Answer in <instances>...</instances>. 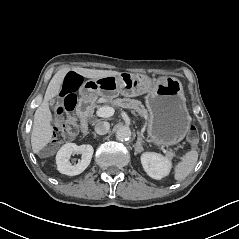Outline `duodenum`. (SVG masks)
I'll return each mask as SVG.
<instances>
[{
    "instance_id": "duodenum-1",
    "label": "duodenum",
    "mask_w": 239,
    "mask_h": 239,
    "mask_svg": "<svg viewBox=\"0 0 239 239\" xmlns=\"http://www.w3.org/2000/svg\"><path fill=\"white\" fill-rule=\"evenodd\" d=\"M77 113L81 120V131L86 134L90 125V117L92 113V102L89 98H81L77 105Z\"/></svg>"
}]
</instances>
